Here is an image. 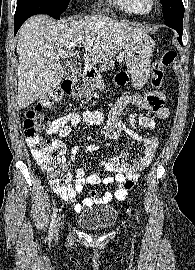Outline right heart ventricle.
Wrapping results in <instances>:
<instances>
[{"label": "right heart ventricle", "mask_w": 195, "mask_h": 270, "mask_svg": "<svg viewBox=\"0 0 195 270\" xmlns=\"http://www.w3.org/2000/svg\"><path fill=\"white\" fill-rule=\"evenodd\" d=\"M113 3L120 10L129 14L142 15L146 13L141 6L140 0H113Z\"/></svg>", "instance_id": "right-heart-ventricle-1"}]
</instances>
